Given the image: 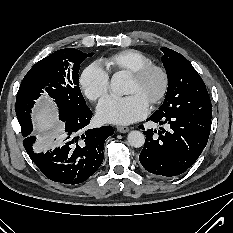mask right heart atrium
<instances>
[{
  "instance_id": "obj_1",
  "label": "right heart atrium",
  "mask_w": 233,
  "mask_h": 233,
  "mask_svg": "<svg viewBox=\"0 0 233 233\" xmlns=\"http://www.w3.org/2000/svg\"><path fill=\"white\" fill-rule=\"evenodd\" d=\"M110 76L99 63L88 65L80 74L79 86L84 95L91 101H96L107 94Z\"/></svg>"
}]
</instances>
